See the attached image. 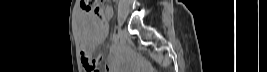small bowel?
<instances>
[{"instance_id": "small-bowel-1", "label": "small bowel", "mask_w": 267, "mask_h": 72, "mask_svg": "<svg viewBox=\"0 0 267 72\" xmlns=\"http://www.w3.org/2000/svg\"><path fill=\"white\" fill-rule=\"evenodd\" d=\"M111 12H112L111 7H107V8H106V13H107L108 16L111 15ZM91 26H92V28L94 29V33L92 34L91 43H92L93 46H95V45H97L100 41H102V40L105 38L106 33H105V31H99V29L97 28L95 22H94V23H91ZM81 59H82V63H83L85 66H87V64H88V60H89L90 58H89V56H88L86 50H84V51L82 52V57H81ZM107 70H108V68H107Z\"/></svg>"}]
</instances>
